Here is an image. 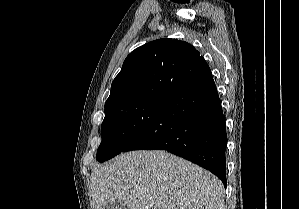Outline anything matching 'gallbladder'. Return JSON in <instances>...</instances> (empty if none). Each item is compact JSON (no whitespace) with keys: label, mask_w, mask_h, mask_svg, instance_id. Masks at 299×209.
Segmentation results:
<instances>
[{"label":"gallbladder","mask_w":299,"mask_h":209,"mask_svg":"<svg viewBox=\"0 0 299 209\" xmlns=\"http://www.w3.org/2000/svg\"><path fill=\"white\" fill-rule=\"evenodd\" d=\"M103 209H129L127 205L122 202L114 201L107 204Z\"/></svg>","instance_id":"gallbladder-1"}]
</instances>
